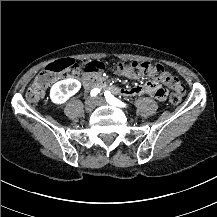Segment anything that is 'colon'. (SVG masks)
<instances>
[{
  "label": "colon",
  "mask_w": 217,
  "mask_h": 217,
  "mask_svg": "<svg viewBox=\"0 0 217 217\" xmlns=\"http://www.w3.org/2000/svg\"><path fill=\"white\" fill-rule=\"evenodd\" d=\"M74 65L71 58L58 60L47 65V69L39 72L38 78L28 88L26 99L29 102H37L44 94L48 83L52 81L53 76L59 77L70 74L73 71ZM119 68L125 70L127 76H135L137 78H153L159 84H163L166 89L183 90V84L180 79L172 75L162 66L152 65L148 62H120ZM179 88V89H178ZM182 88V89H181ZM170 102L178 104L182 100L181 95L170 93Z\"/></svg>",
  "instance_id": "5ec220e1"
}]
</instances>
